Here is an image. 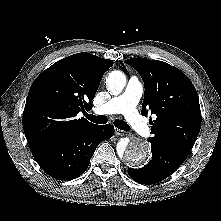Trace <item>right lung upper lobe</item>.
I'll use <instances>...</instances> for the list:
<instances>
[{"mask_svg": "<svg viewBox=\"0 0 221 221\" xmlns=\"http://www.w3.org/2000/svg\"><path fill=\"white\" fill-rule=\"evenodd\" d=\"M112 65L113 60L82 52L54 63L34 80L22 119L31 150L95 125L76 115L90 109L103 74Z\"/></svg>", "mask_w": 221, "mask_h": 221, "instance_id": "cb5924a9", "label": "right lung upper lobe"}]
</instances>
